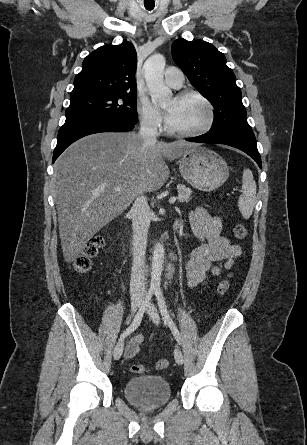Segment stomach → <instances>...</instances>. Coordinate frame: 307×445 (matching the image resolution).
I'll list each match as a JSON object with an SVG mask.
<instances>
[{"label": "stomach", "mask_w": 307, "mask_h": 445, "mask_svg": "<svg viewBox=\"0 0 307 445\" xmlns=\"http://www.w3.org/2000/svg\"><path fill=\"white\" fill-rule=\"evenodd\" d=\"M179 168L185 180L199 190H215L229 176L224 158L206 146H195L185 152L179 160Z\"/></svg>", "instance_id": "1"}]
</instances>
